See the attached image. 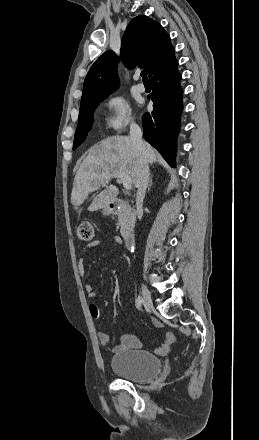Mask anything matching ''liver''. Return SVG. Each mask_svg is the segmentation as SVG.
<instances>
[{
  "label": "liver",
  "mask_w": 259,
  "mask_h": 440,
  "mask_svg": "<svg viewBox=\"0 0 259 440\" xmlns=\"http://www.w3.org/2000/svg\"><path fill=\"white\" fill-rule=\"evenodd\" d=\"M144 146L145 152L141 155L130 137L113 136L93 147L76 172L71 203L74 206L81 205L90 193L103 185L105 189L94 198L89 211L106 208L119 193L116 186L109 184L118 172L128 174L137 187L141 158L148 164L155 163L158 158L157 151L151 145L144 142Z\"/></svg>",
  "instance_id": "1"
}]
</instances>
